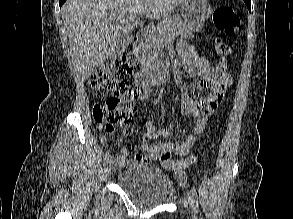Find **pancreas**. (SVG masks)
Listing matches in <instances>:
<instances>
[{
  "label": "pancreas",
  "mask_w": 293,
  "mask_h": 219,
  "mask_svg": "<svg viewBox=\"0 0 293 219\" xmlns=\"http://www.w3.org/2000/svg\"><path fill=\"white\" fill-rule=\"evenodd\" d=\"M170 36L191 38L193 34L179 15L168 17L157 27L151 28L143 46V65L145 67L153 69L159 67L165 40Z\"/></svg>",
  "instance_id": "cf45deb5"
}]
</instances>
